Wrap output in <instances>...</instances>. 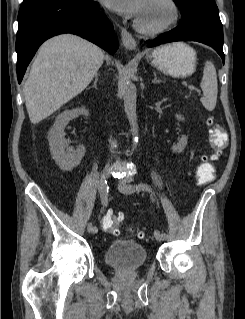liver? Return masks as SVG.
Masks as SVG:
<instances>
[{"label": "liver", "mask_w": 245, "mask_h": 319, "mask_svg": "<svg viewBox=\"0 0 245 319\" xmlns=\"http://www.w3.org/2000/svg\"><path fill=\"white\" fill-rule=\"evenodd\" d=\"M105 58L101 48L75 35L46 41L23 88L31 123H39L81 93Z\"/></svg>", "instance_id": "liver-1"}]
</instances>
